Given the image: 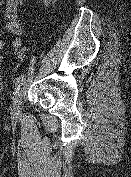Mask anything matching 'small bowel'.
<instances>
[{"instance_id": "c3829d8e", "label": "small bowel", "mask_w": 131, "mask_h": 177, "mask_svg": "<svg viewBox=\"0 0 131 177\" xmlns=\"http://www.w3.org/2000/svg\"><path fill=\"white\" fill-rule=\"evenodd\" d=\"M26 0H6L5 19L7 21V29L14 36L10 45L14 48L15 54L22 57L26 48L22 44L21 35L23 33V26L18 20V12L20 8H24ZM7 43L0 40V51L5 48ZM1 62V56H0Z\"/></svg>"}]
</instances>
